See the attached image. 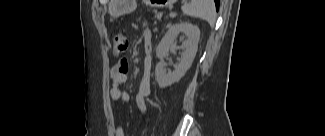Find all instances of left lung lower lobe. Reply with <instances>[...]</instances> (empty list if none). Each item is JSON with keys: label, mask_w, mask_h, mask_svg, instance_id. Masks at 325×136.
Returning <instances> with one entry per match:
<instances>
[{"label": "left lung lower lobe", "mask_w": 325, "mask_h": 136, "mask_svg": "<svg viewBox=\"0 0 325 136\" xmlns=\"http://www.w3.org/2000/svg\"><path fill=\"white\" fill-rule=\"evenodd\" d=\"M215 1V4H216V9L218 10V8H219V1L220 0H214Z\"/></svg>", "instance_id": "obj_1"}]
</instances>
